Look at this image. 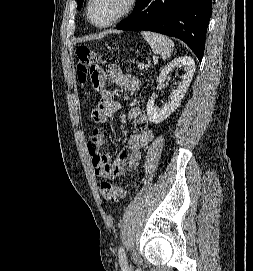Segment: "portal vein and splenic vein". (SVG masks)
I'll return each mask as SVG.
<instances>
[{
    "label": "portal vein and splenic vein",
    "instance_id": "18ae733b",
    "mask_svg": "<svg viewBox=\"0 0 253 271\" xmlns=\"http://www.w3.org/2000/svg\"><path fill=\"white\" fill-rule=\"evenodd\" d=\"M138 67H139L140 69H144L146 66H145L143 63H139V64H138Z\"/></svg>",
    "mask_w": 253,
    "mask_h": 271
}]
</instances>
